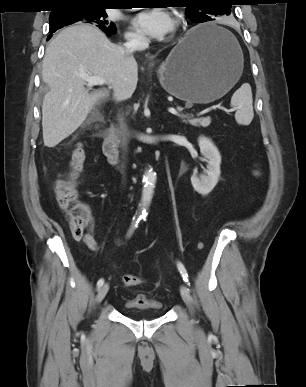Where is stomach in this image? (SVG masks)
<instances>
[{
  "label": "stomach",
  "instance_id": "0dacf381",
  "mask_svg": "<svg viewBox=\"0 0 306 387\" xmlns=\"http://www.w3.org/2000/svg\"><path fill=\"white\" fill-rule=\"evenodd\" d=\"M243 66L236 39L224 28L207 23L192 28L179 41L160 65L158 76L168 93L188 105L206 104L224 96L237 83Z\"/></svg>",
  "mask_w": 306,
  "mask_h": 387
}]
</instances>
